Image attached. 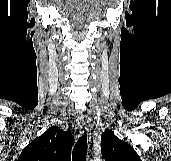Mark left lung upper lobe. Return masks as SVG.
I'll return each instance as SVG.
<instances>
[{
  "label": "left lung upper lobe",
  "mask_w": 171,
  "mask_h": 161,
  "mask_svg": "<svg viewBox=\"0 0 171 161\" xmlns=\"http://www.w3.org/2000/svg\"><path fill=\"white\" fill-rule=\"evenodd\" d=\"M101 152L105 161H141L135 150L111 130L102 133Z\"/></svg>",
  "instance_id": "obj_1"
}]
</instances>
